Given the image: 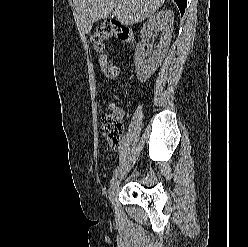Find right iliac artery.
<instances>
[{"label":"right iliac artery","instance_id":"obj_1","mask_svg":"<svg viewBox=\"0 0 248 247\" xmlns=\"http://www.w3.org/2000/svg\"><path fill=\"white\" fill-rule=\"evenodd\" d=\"M119 171H120V168H119V166H117V168L114 170L112 179L110 180V184H112L114 182L115 178L118 176Z\"/></svg>","mask_w":248,"mask_h":247}]
</instances>
